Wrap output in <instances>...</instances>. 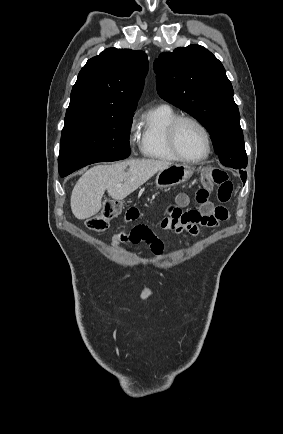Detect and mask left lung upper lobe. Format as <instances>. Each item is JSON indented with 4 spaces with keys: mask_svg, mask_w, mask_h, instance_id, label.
Wrapping results in <instances>:
<instances>
[{
    "mask_svg": "<svg viewBox=\"0 0 283 434\" xmlns=\"http://www.w3.org/2000/svg\"><path fill=\"white\" fill-rule=\"evenodd\" d=\"M161 98L196 118L210 133L220 162L247 166L238 106L222 63L194 44L165 52L154 62Z\"/></svg>",
    "mask_w": 283,
    "mask_h": 434,
    "instance_id": "obj_1",
    "label": "left lung upper lobe"
}]
</instances>
